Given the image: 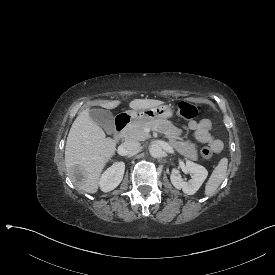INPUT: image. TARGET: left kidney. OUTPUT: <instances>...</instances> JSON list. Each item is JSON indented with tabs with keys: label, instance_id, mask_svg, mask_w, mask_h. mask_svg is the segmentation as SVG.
<instances>
[{
	"label": "left kidney",
	"instance_id": "1",
	"mask_svg": "<svg viewBox=\"0 0 275 275\" xmlns=\"http://www.w3.org/2000/svg\"><path fill=\"white\" fill-rule=\"evenodd\" d=\"M186 169L193 174L192 180L185 182L180 176L181 171L178 168H172L170 172V181L177 190H183L185 194L193 195L206 179L208 172L203 166L191 162L186 163Z\"/></svg>",
	"mask_w": 275,
	"mask_h": 275
}]
</instances>
